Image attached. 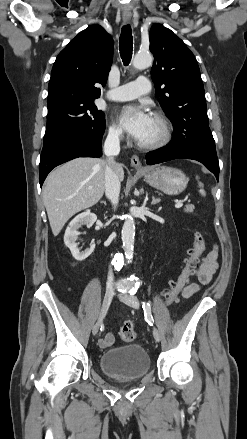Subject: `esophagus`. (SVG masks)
I'll list each match as a JSON object with an SVG mask.
<instances>
[{"instance_id": "34e87169", "label": "esophagus", "mask_w": 247, "mask_h": 439, "mask_svg": "<svg viewBox=\"0 0 247 439\" xmlns=\"http://www.w3.org/2000/svg\"><path fill=\"white\" fill-rule=\"evenodd\" d=\"M130 20H131V16H130V15H124V16H123V22H124L125 24H128V23L130 22ZM130 162H131V166L134 167L135 169L140 170V169H143V168H144V167L142 166V163H141V161H140V159H139V157H138L137 155H133V156L131 157Z\"/></svg>"}]
</instances>
